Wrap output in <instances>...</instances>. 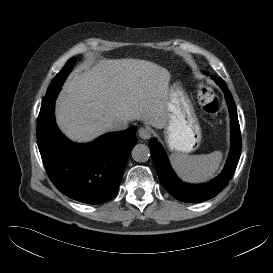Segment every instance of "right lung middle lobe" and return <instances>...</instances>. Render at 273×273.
<instances>
[{"instance_id": "dd1d6c3e", "label": "right lung middle lobe", "mask_w": 273, "mask_h": 273, "mask_svg": "<svg viewBox=\"0 0 273 273\" xmlns=\"http://www.w3.org/2000/svg\"><path fill=\"white\" fill-rule=\"evenodd\" d=\"M75 65V58H71L67 61L62 70L54 77L51 84L48 87L46 96L51 95L56 89H59L66 80V77L71 72L73 66Z\"/></svg>"}]
</instances>
